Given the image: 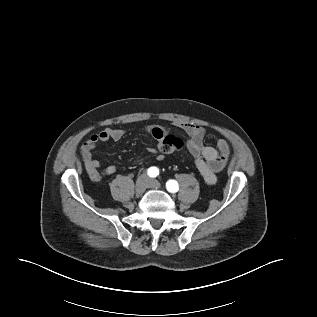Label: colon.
<instances>
[{
  "mask_svg": "<svg viewBox=\"0 0 317 317\" xmlns=\"http://www.w3.org/2000/svg\"><path fill=\"white\" fill-rule=\"evenodd\" d=\"M183 143L180 138L175 135H166L159 144V149L164 154H169L179 150Z\"/></svg>",
  "mask_w": 317,
  "mask_h": 317,
  "instance_id": "1",
  "label": "colon"
}]
</instances>
